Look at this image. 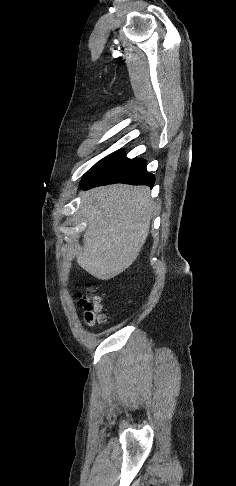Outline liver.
Here are the masks:
<instances>
[{"label":"liver","mask_w":236,"mask_h":486,"mask_svg":"<svg viewBox=\"0 0 236 486\" xmlns=\"http://www.w3.org/2000/svg\"><path fill=\"white\" fill-rule=\"evenodd\" d=\"M149 190L115 184L83 194L80 208L87 227L77 263L90 275L109 280L137 259L154 210Z\"/></svg>","instance_id":"1"}]
</instances>
